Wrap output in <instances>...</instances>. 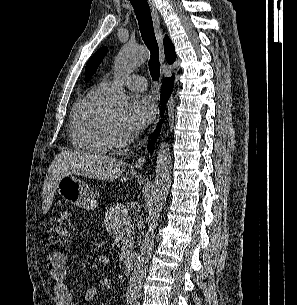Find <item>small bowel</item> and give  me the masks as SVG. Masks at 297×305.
<instances>
[{"label": "small bowel", "instance_id": "1", "mask_svg": "<svg viewBox=\"0 0 297 305\" xmlns=\"http://www.w3.org/2000/svg\"><path fill=\"white\" fill-rule=\"evenodd\" d=\"M101 261L109 264V260L102 257ZM47 266L54 282V292L60 305H77L67 280L65 257L61 252H51L47 256ZM99 293L96 287L89 288L85 293L87 302H92Z\"/></svg>", "mask_w": 297, "mask_h": 305}]
</instances>
